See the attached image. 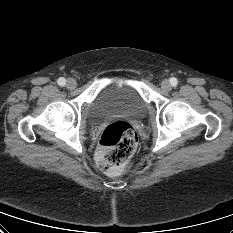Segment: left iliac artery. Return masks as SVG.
Returning <instances> with one entry per match:
<instances>
[{"label": "left iliac artery", "mask_w": 233, "mask_h": 233, "mask_svg": "<svg viewBox=\"0 0 233 233\" xmlns=\"http://www.w3.org/2000/svg\"><path fill=\"white\" fill-rule=\"evenodd\" d=\"M170 83H171V85H172L173 87H176L177 84H178V81H177L176 78H171V79H170Z\"/></svg>", "instance_id": "44dca946"}]
</instances>
